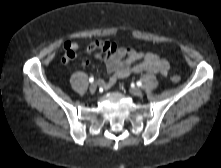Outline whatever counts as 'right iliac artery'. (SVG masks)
Masks as SVG:
<instances>
[{"mask_svg":"<svg viewBox=\"0 0 221 168\" xmlns=\"http://www.w3.org/2000/svg\"><path fill=\"white\" fill-rule=\"evenodd\" d=\"M89 82H90V83H93V82H94V78H93V77H90V78H89Z\"/></svg>","mask_w":221,"mask_h":168,"instance_id":"right-iliac-artery-1","label":"right iliac artery"}]
</instances>
